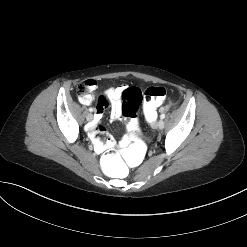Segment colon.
I'll list each match as a JSON object with an SVG mask.
<instances>
[{
    "mask_svg": "<svg viewBox=\"0 0 247 247\" xmlns=\"http://www.w3.org/2000/svg\"><path fill=\"white\" fill-rule=\"evenodd\" d=\"M90 91L91 84L88 81L82 82L77 88V93L80 97L88 95ZM165 96V88L159 86L148 87L143 93L136 87L124 90L121 110L133 138L138 139L139 123L137 111L142 100L145 103L147 116L152 118L155 115L156 108L162 103ZM148 153L147 145L142 141L136 140L123 146L119 152L116 150L105 151L99 158V169L110 178L124 180L130 174V167L143 162Z\"/></svg>",
    "mask_w": 247,
    "mask_h": 247,
    "instance_id": "colon-1",
    "label": "colon"
}]
</instances>
